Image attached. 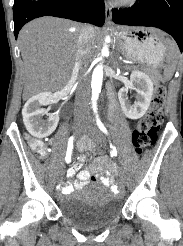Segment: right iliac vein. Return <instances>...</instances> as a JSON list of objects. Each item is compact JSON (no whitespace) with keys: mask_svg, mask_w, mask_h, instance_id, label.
<instances>
[{"mask_svg":"<svg viewBox=\"0 0 183 246\" xmlns=\"http://www.w3.org/2000/svg\"><path fill=\"white\" fill-rule=\"evenodd\" d=\"M83 129V124L81 122H75L73 127V132L75 136H78Z\"/></svg>","mask_w":183,"mask_h":246,"instance_id":"1","label":"right iliac vein"}]
</instances>
